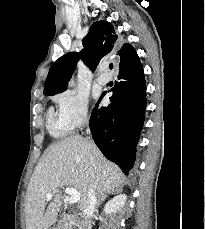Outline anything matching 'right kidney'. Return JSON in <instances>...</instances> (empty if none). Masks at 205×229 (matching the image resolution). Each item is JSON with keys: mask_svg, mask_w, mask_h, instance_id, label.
Masks as SVG:
<instances>
[{"mask_svg": "<svg viewBox=\"0 0 205 229\" xmlns=\"http://www.w3.org/2000/svg\"><path fill=\"white\" fill-rule=\"evenodd\" d=\"M126 199L127 196L125 194L115 196L113 199L106 203L104 212L106 214L116 213L124 206Z\"/></svg>", "mask_w": 205, "mask_h": 229, "instance_id": "obj_1", "label": "right kidney"}]
</instances>
